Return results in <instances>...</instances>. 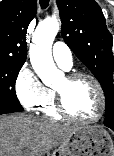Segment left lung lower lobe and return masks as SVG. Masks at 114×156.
Listing matches in <instances>:
<instances>
[{
	"instance_id": "1",
	"label": "left lung lower lobe",
	"mask_w": 114,
	"mask_h": 156,
	"mask_svg": "<svg viewBox=\"0 0 114 156\" xmlns=\"http://www.w3.org/2000/svg\"><path fill=\"white\" fill-rule=\"evenodd\" d=\"M108 127V126H107ZM109 128H111L113 131H114V126H111V127H109Z\"/></svg>"
}]
</instances>
